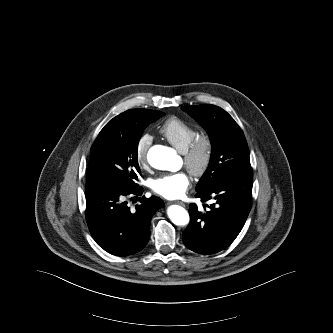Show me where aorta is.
Instances as JSON below:
<instances>
[{"label":"aorta","mask_w":333,"mask_h":333,"mask_svg":"<svg viewBox=\"0 0 333 333\" xmlns=\"http://www.w3.org/2000/svg\"><path fill=\"white\" fill-rule=\"evenodd\" d=\"M149 164L158 170L173 171L177 168L178 157L176 152L166 146L155 145L147 154ZM169 219L177 226H185L189 223L188 212L179 205H171L167 209Z\"/></svg>","instance_id":"aorta-1"}]
</instances>
